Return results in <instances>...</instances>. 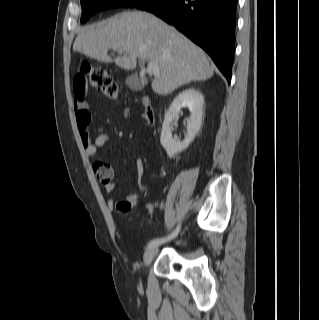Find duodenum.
I'll return each mask as SVG.
<instances>
[{"label":"duodenum","instance_id":"obj_1","mask_svg":"<svg viewBox=\"0 0 319 320\" xmlns=\"http://www.w3.org/2000/svg\"><path fill=\"white\" fill-rule=\"evenodd\" d=\"M146 116H147V119L150 121V123H152L153 122V113L150 110V108H147Z\"/></svg>","mask_w":319,"mask_h":320}]
</instances>
